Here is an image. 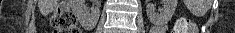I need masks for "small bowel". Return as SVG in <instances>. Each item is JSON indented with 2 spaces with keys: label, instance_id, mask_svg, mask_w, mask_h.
<instances>
[{
  "label": "small bowel",
  "instance_id": "c3829d8e",
  "mask_svg": "<svg viewBox=\"0 0 235 33\" xmlns=\"http://www.w3.org/2000/svg\"><path fill=\"white\" fill-rule=\"evenodd\" d=\"M165 31H166V26H162V25L154 26L151 29V33H164Z\"/></svg>",
  "mask_w": 235,
  "mask_h": 33
}]
</instances>
